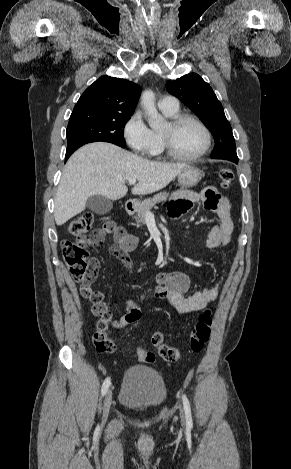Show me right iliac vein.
<instances>
[{"mask_svg": "<svg viewBox=\"0 0 291 469\" xmlns=\"http://www.w3.org/2000/svg\"><path fill=\"white\" fill-rule=\"evenodd\" d=\"M112 403V391L108 390L104 399V404H103V421L105 422L107 420L110 407Z\"/></svg>", "mask_w": 291, "mask_h": 469, "instance_id": "obj_1", "label": "right iliac vein"}]
</instances>
